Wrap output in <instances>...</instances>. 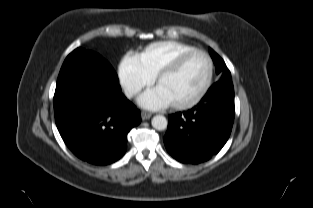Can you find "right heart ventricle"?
<instances>
[{"instance_id": "right-heart-ventricle-1", "label": "right heart ventricle", "mask_w": 313, "mask_h": 208, "mask_svg": "<svg viewBox=\"0 0 313 208\" xmlns=\"http://www.w3.org/2000/svg\"><path fill=\"white\" fill-rule=\"evenodd\" d=\"M194 49L197 48L185 42L174 40L158 41L146 46L135 56V60L143 70L151 76H155L176 57Z\"/></svg>"}]
</instances>
